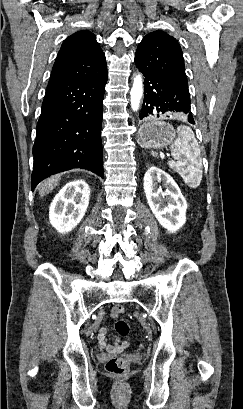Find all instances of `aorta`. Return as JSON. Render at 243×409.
Listing matches in <instances>:
<instances>
[{
	"mask_svg": "<svg viewBox=\"0 0 243 409\" xmlns=\"http://www.w3.org/2000/svg\"><path fill=\"white\" fill-rule=\"evenodd\" d=\"M143 96V79L140 74L136 75L133 80V86L130 91V102L133 111H137Z\"/></svg>",
	"mask_w": 243,
	"mask_h": 409,
	"instance_id": "obj_1",
	"label": "aorta"
}]
</instances>
